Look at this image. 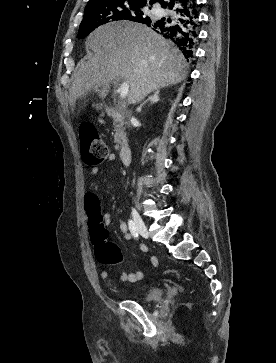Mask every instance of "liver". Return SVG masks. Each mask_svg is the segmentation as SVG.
<instances>
[{
	"label": "liver",
	"instance_id": "6515ba94",
	"mask_svg": "<svg viewBox=\"0 0 276 363\" xmlns=\"http://www.w3.org/2000/svg\"><path fill=\"white\" fill-rule=\"evenodd\" d=\"M94 55L82 60L74 74L69 103L96 90L103 99L113 80L128 82V102H141L152 91L176 85L186 77L187 63L174 45L141 23L112 22L86 40ZM100 88V89H99Z\"/></svg>",
	"mask_w": 276,
	"mask_h": 363
}]
</instances>
